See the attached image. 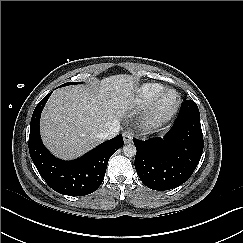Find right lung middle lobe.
<instances>
[{
    "mask_svg": "<svg viewBox=\"0 0 243 243\" xmlns=\"http://www.w3.org/2000/svg\"><path fill=\"white\" fill-rule=\"evenodd\" d=\"M79 82H68V83H65V84H63V85H61V86H65V85H71V84H78ZM60 86V87H61Z\"/></svg>",
    "mask_w": 243,
    "mask_h": 243,
    "instance_id": "1",
    "label": "right lung middle lobe"
}]
</instances>
